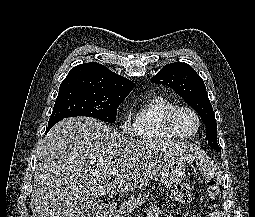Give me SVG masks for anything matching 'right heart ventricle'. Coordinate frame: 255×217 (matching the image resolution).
<instances>
[{
    "label": "right heart ventricle",
    "instance_id": "1",
    "mask_svg": "<svg viewBox=\"0 0 255 217\" xmlns=\"http://www.w3.org/2000/svg\"><path fill=\"white\" fill-rule=\"evenodd\" d=\"M169 98L155 94L135 111L133 132L144 140H175L180 138L169 127L167 114L175 107Z\"/></svg>",
    "mask_w": 255,
    "mask_h": 217
}]
</instances>
